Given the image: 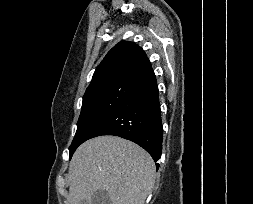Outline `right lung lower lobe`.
I'll list each match as a JSON object with an SVG mask.
<instances>
[{
  "label": "right lung lower lobe",
  "mask_w": 253,
  "mask_h": 204,
  "mask_svg": "<svg viewBox=\"0 0 253 204\" xmlns=\"http://www.w3.org/2000/svg\"><path fill=\"white\" fill-rule=\"evenodd\" d=\"M101 135H115L133 141L149 152L155 162L160 159L163 128L153 71L137 83L91 138Z\"/></svg>",
  "instance_id": "obj_1"
}]
</instances>
